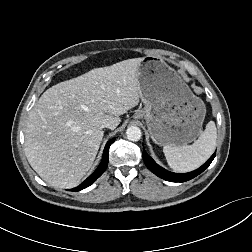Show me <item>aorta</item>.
Returning <instances> with one entry per match:
<instances>
[{
  "label": "aorta",
  "instance_id": "obj_1",
  "mask_svg": "<svg viewBox=\"0 0 252 252\" xmlns=\"http://www.w3.org/2000/svg\"><path fill=\"white\" fill-rule=\"evenodd\" d=\"M126 136L130 141H138L142 136L141 129L137 126H130L126 130Z\"/></svg>",
  "mask_w": 252,
  "mask_h": 252
}]
</instances>
